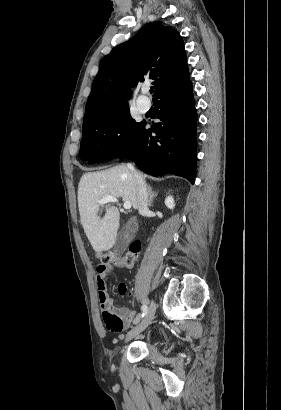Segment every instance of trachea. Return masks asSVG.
Masks as SVG:
<instances>
[{
    "label": "trachea",
    "mask_w": 281,
    "mask_h": 410,
    "mask_svg": "<svg viewBox=\"0 0 281 410\" xmlns=\"http://www.w3.org/2000/svg\"><path fill=\"white\" fill-rule=\"evenodd\" d=\"M153 91H154V88H153V87H151V88H150V93L152 94V93H153Z\"/></svg>",
    "instance_id": "obj_1"
}]
</instances>
